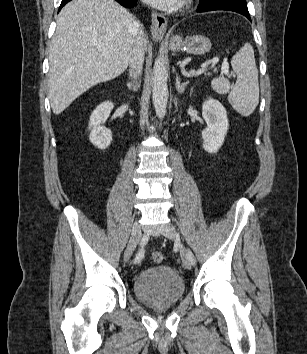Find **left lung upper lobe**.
<instances>
[{
  "label": "left lung upper lobe",
  "mask_w": 307,
  "mask_h": 354,
  "mask_svg": "<svg viewBox=\"0 0 307 354\" xmlns=\"http://www.w3.org/2000/svg\"><path fill=\"white\" fill-rule=\"evenodd\" d=\"M201 2H205V1H211V0H200Z\"/></svg>",
  "instance_id": "5c2ea615"
}]
</instances>
